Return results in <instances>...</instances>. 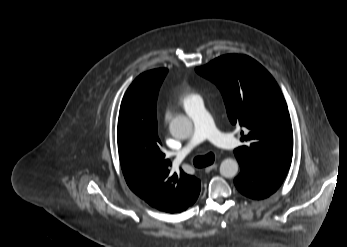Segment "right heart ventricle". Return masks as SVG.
Listing matches in <instances>:
<instances>
[{"mask_svg": "<svg viewBox=\"0 0 347 247\" xmlns=\"http://www.w3.org/2000/svg\"><path fill=\"white\" fill-rule=\"evenodd\" d=\"M198 95L191 90L189 87H182L179 101L180 103L185 107V105L190 102L193 98L197 97Z\"/></svg>", "mask_w": 347, "mask_h": 247, "instance_id": "obj_1", "label": "right heart ventricle"}]
</instances>
